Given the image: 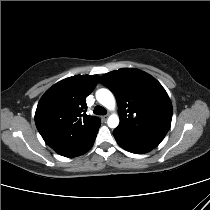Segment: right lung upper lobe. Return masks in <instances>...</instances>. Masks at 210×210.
<instances>
[{
    "label": "right lung upper lobe",
    "mask_w": 210,
    "mask_h": 210,
    "mask_svg": "<svg viewBox=\"0 0 210 210\" xmlns=\"http://www.w3.org/2000/svg\"><path fill=\"white\" fill-rule=\"evenodd\" d=\"M99 76L77 75L63 79L40 99L36 127L44 141L58 154L73 157L96 138L100 119L86 114L85 98L93 91Z\"/></svg>",
    "instance_id": "1"
}]
</instances>
